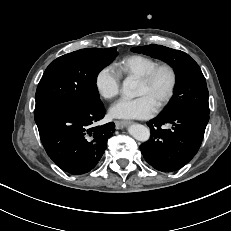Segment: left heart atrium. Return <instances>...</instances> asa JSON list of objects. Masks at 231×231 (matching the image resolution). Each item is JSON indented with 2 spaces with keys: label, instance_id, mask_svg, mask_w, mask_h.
<instances>
[{
  "label": "left heart atrium",
  "instance_id": "39dd6f15",
  "mask_svg": "<svg viewBox=\"0 0 231 231\" xmlns=\"http://www.w3.org/2000/svg\"><path fill=\"white\" fill-rule=\"evenodd\" d=\"M156 106L146 95L135 98H121L110 108V114L120 119H145L151 117Z\"/></svg>",
  "mask_w": 231,
  "mask_h": 231
}]
</instances>
